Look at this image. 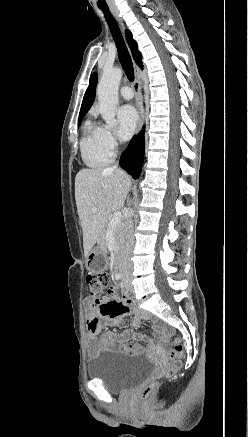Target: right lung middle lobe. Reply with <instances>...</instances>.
<instances>
[{
  "mask_svg": "<svg viewBox=\"0 0 248 437\" xmlns=\"http://www.w3.org/2000/svg\"><path fill=\"white\" fill-rule=\"evenodd\" d=\"M82 119H83V117H80V118H79L78 126H80Z\"/></svg>",
  "mask_w": 248,
  "mask_h": 437,
  "instance_id": "dd1d6c3e",
  "label": "right lung middle lobe"
}]
</instances>
